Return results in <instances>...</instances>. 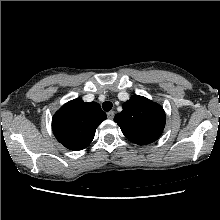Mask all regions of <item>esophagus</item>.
Wrapping results in <instances>:
<instances>
[{
  "label": "esophagus",
  "mask_w": 220,
  "mask_h": 220,
  "mask_svg": "<svg viewBox=\"0 0 220 220\" xmlns=\"http://www.w3.org/2000/svg\"><path fill=\"white\" fill-rule=\"evenodd\" d=\"M114 115H115L114 111H109V112H107V117H108L109 119H113V118H114Z\"/></svg>",
  "instance_id": "34e87169"
}]
</instances>
